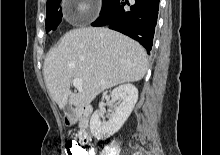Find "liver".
Instances as JSON below:
<instances>
[{"instance_id":"1","label":"liver","mask_w":220,"mask_h":155,"mask_svg":"<svg viewBox=\"0 0 220 155\" xmlns=\"http://www.w3.org/2000/svg\"><path fill=\"white\" fill-rule=\"evenodd\" d=\"M148 69L145 49L116 31L101 27L74 29L60 39L44 61L43 75L50 97L64 109L89 105L98 94L141 80ZM74 78L82 89L71 93Z\"/></svg>"}]
</instances>
